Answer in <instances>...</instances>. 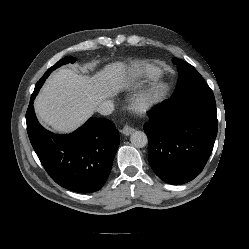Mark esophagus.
<instances>
[{"instance_id":"esophagus-1","label":"esophagus","mask_w":249,"mask_h":249,"mask_svg":"<svg viewBox=\"0 0 249 249\" xmlns=\"http://www.w3.org/2000/svg\"><path fill=\"white\" fill-rule=\"evenodd\" d=\"M134 131V128L131 127L130 125H125L122 130L121 133L128 136L130 135L132 132Z\"/></svg>"}]
</instances>
